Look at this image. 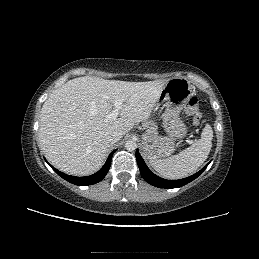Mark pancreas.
Masks as SVG:
<instances>
[{
	"label": "pancreas",
	"mask_w": 259,
	"mask_h": 259,
	"mask_svg": "<svg viewBox=\"0 0 259 259\" xmlns=\"http://www.w3.org/2000/svg\"><path fill=\"white\" fill-rule=\"evenodd\" d=\"M144 126L148 128V133L157 134V127L154 124L147 122L144 124Z\"/></svg>",
	"instance_id": "cf45deb5"
}]
</instances>
